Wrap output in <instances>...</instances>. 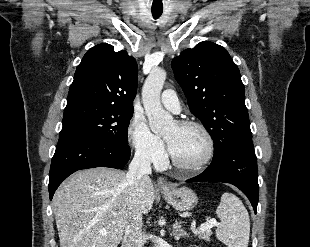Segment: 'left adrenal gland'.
Masks as SVG:
<instances>
[{
    "label": "left adrenal gland",
    "mask_w": 310,
    "mask_h": 247,
    "mask_svg": "<svg viewBox=\"0 0 310 247\" xmlns=\"http://www.w3.org/2000/svg\"><path fill=\"white\" fill-rule=\"evenodd\" d=\"M181 222H175V224L173 225V236L175 238V240L179 241L180 238H186L188 237V233L181 228Z\"/></svg>",
    "instance_id": "left-adrenal-gland-1"
}]
</instances>
